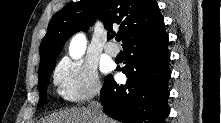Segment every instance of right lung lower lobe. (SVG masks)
Masks as SVG:
<instances>
[{"instance_id":"right-lung-lower-lobe-1","label":"right lung lower lobe","mask_w":221,"mask_h":123,"mask_svg":"<svg viewBox=\"0 0 221 123\" xmlns=\"http://www.w3.org/2000/svg\"><path fill=\"white\" fill-rule=\"evenodd\" d=\"M166 32L158 37L140 40L125 50L127 76L118 85L107 76L101 89L103 111L108 116L129 123H165L169 114L168 80L170 52Z\"/></svg>"}]
</instances>
